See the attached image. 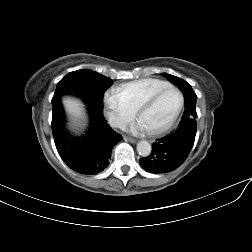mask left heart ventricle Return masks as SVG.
Segmentation results:
<instances>
[{"label": "left heart ventricle", "instance_id": "left-heart-ventricle-1", "mask_svg": "<svg viewBox=\"0 0 252 252\" xmlns=\"http://www.w3.org/2000/svg\"><path fill=\"white\" fill-rule=\"evenodd\" d=\"M178 103L177 93L167 91L151 107L140 114L139 120L147 130L160 127L167 122Z\"/></svg>", "mask_w": 252, "mask_h": 252}]
</instances>
